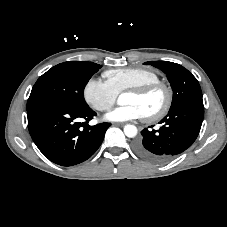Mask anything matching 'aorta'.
Segmentation results:
<instances>
[{"label":"aorta","mask_w":227,"mask_h":227,"mask_svg":"<svg viewBox=\"0 0 227 227\" xmlns=\"http://www.w3.org/2000/svg\"><path fill=\"white\" fill-rule=\"evenodd\" d=\"M124 134L129 137L133 138L137 135V128L134 125H125L124 127Z\"/></svg>","instance_id":"762f6f07"}]
</instances>
